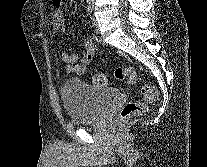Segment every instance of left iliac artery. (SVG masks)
<instances>
[{
    "instance_id": "left-iliac-artery-1",
    "label": "left iliac artery",
    "mask_w": 207,
    "mask_h": 167,
    "mask_svg": "<svg viewBox=\"0 0 207 167\" xmlns=\"http://www.w3.org/2000/svg\"><path fill=\"white\" fill-rule=\"evenodd\" d=\"M93 7H94L93 2L89 1V2H88V10H89L90 12H92Z\"/></svg>"
}]
</instances>
